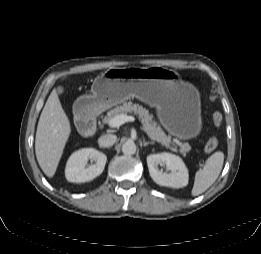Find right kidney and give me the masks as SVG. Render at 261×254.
<instances>
[{
	"mask_svg": "<svg viewBox=\"0 0 261 254\" xmlns=\"http://www.w3.org/2000/svg\"><path fill=\"white\" fill-rule=\"evenodd\" d=\"M94 160L86 168L88 160ZM107 156L94 148H83L74 152L67 161L65 177L69 182L82 183L88 182L99 176L105 167Z\"/></svg>",
	"mask_w": 261,
	"mask_h": 254,
	"instance_id": "obj_1",
	"label": "right kidney"
}]
</instances>
